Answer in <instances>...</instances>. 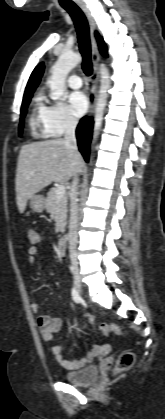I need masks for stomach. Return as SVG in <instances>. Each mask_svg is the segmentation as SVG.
<instances>
[{"mask_svg":"<svg viewBox=\"0 0 165 419\" xmlns=\"http://www.w3.org/2000/svg\"><path fill=\"white\" fill-rule=\"evenodd\" d=\"M29 206L34 212H42L45 208V198L42 195H33L29 200Z\"/></svg>","mask_w":165,"mask_h":419,"instance_id":"0dacf381","label":"stomach"}]
</instances>
